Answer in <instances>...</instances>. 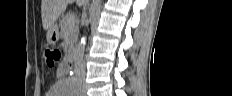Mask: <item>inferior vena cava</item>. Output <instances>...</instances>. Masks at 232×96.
I'll return each mask as SVG.
<instances>
[{
    "mask_svg": "<svg viewBox=\"0 0 232 96\" xmlns=\"http://www.w3.org/2000/svg\"><path fill=\"white\" fill-rule=\"evenodd\" d=\"M85 10H86V4L84 5V13L83 14H85Z\"/></svg>",
    "mask_w": 232,
    "mask_h": 96,
    "instance_id": "inferior-vena-cava-1",
    "label": "inferior vena cava"
}]
</instances>
